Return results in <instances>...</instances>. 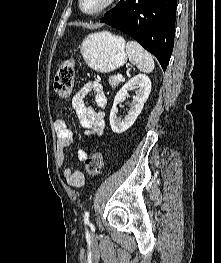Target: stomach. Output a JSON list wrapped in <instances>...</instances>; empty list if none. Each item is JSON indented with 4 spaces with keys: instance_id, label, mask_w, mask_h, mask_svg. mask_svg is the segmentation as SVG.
Segmentation results:
<instances>
[{
    "instance_id": "stomach-1",
    "label": "stomach",
    "mask_w": 221,
    "mask_h": 263,
    "mask_svg": "<svg viewBox=\"0 0 221 263\" xmlns=\"http://www.w3.org/2000/svg\"><path fill=\"white\" fill-rule=\"evenodd\" d=\"M80 52L86 64L100 73L114 71L127 61L125 40L107 31L87 36L80 46Z\"/></svg>"
}]
</instances>
